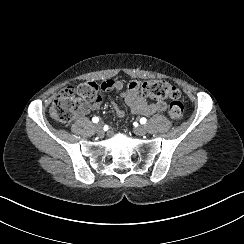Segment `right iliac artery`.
<instances>
[{
	"label": "right iliac artery",
	"mask_w": 244,
	"mask_h": 244,
	"mask_svg": "<svg viewBox=\"0 0 244 244\" xmlns=\"http://www.w3.org/2000/svg\"><path fill=\"white\" fill-rule=\"evenodd\" d=\"M92 121H93L94 123H98L99 118H98V117H93V118H92Z\"/></svg>",
	"instance_id": "obj_1"
}]
</instances>
